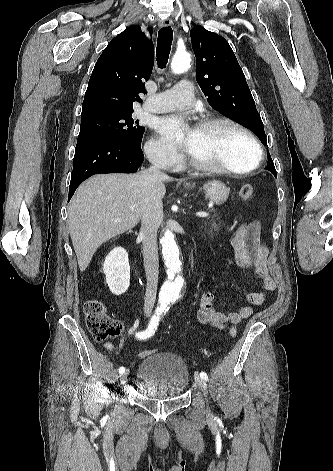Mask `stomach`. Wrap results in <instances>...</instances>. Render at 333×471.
<instances>
[{"label": "stomach", "mask_w": 333, "mask_h": 471, "mask_svg": "<svg viewBox=\"0 0 333 471\" xmlns=\"http://www.w3.org/2000/svg\"><path fill=\"white\" fill-rule=\"evenodd\" d=\"M186 188H192L194 185L185 184ZM206 197L214 204L221 205L228 199L230 189L221 181L213 180L206 183L203 187Z\"/></svg>", "instance_id": "obj_1"}]
</instances>
